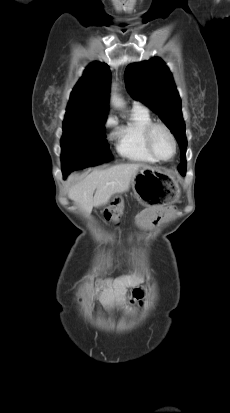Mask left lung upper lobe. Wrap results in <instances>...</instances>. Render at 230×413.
<instances>
[{"mask_svg": "<svg viewBox=\"0 0 230 413\" xmlns=\"http://www.w3.org/2000/svg\"><path fill=\"white\" fill-rule=\"evenodd\" d=\"M125 80L131 96L148 105L174 134L181 152L178 171L186 173L185 123L181 100L168 67L159 58L134 63L126 68Z\"/></svg>", "mask_w": 230, "mask_h": 413, "instance_id": "obj_1", "label": "left lung upper lobe"}]
</instances>
